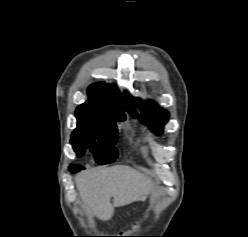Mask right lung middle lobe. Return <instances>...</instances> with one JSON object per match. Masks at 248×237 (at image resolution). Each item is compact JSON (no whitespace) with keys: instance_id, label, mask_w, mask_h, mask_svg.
I'll list each match as a JSON object with an SVG mask.
<instances>
[{"instance_id":"dd1d6c3e","label":"right lung middle lobe","mask_w":248,"mask_h":237,"mask_svg":"<svg viewBox=\"0 0 248 237\" xmlns=\"http://www.w3.org/2000/svg\"><path fill=\"white\" fill-rule=\"evenodd\" d=\"M77 127L71 134V144L77 156L84 154L85 149L94 153L98 164L112 163L118 157L114 146L118 140L116 121H124L125 116L102 118L76 112ZM83 168L71 165V170Z\"/></svg>"}]
</instances>
